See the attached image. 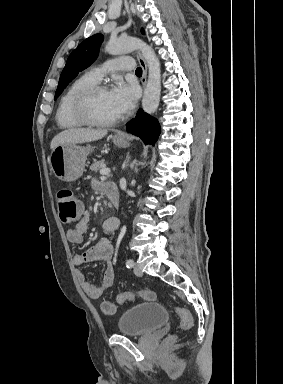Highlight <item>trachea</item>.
<instances>
[{
	"mask_svg": "<svg viewBox=\"0 0 283 384\" xmlns=\"http://www.w3.org/2000/svg\"><path fill=\"white\" fill-rule=\"evenodd\" d=\"M135 73H136V75H142V68H141V67H138V68L135 70Z\"/></svg>",
	"mask_w": 283,
	"mask_h": 384,
	"instance_id": "3493384b",
	"label": "trachea"
}]
</instances>
